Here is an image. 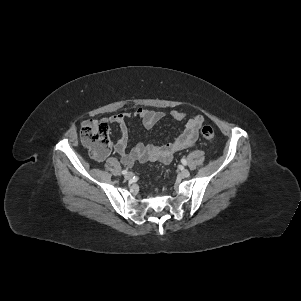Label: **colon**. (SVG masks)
Returning <instances> with one entry per match:
<instances>
[{
	"instance_id": "colon-1",
	"label": "colon",
	"mask_w": 301,
	"mask_h": 301,
	"mask_svg": "<svg viewBox=\"0 0 301 301\" xmlns=\"http://www.w3.org/2000/svg\"><path fill=\"white\" fill-rule=\"evenodd\" d=\"M109 133V126L105 122L89 120L82 125L80 131L81 140L89 148L93 158L100 159L109 153ZM201 133L209 142L214 141L215 133L211 126H203Z\"/></svg>"
}]
</instances>
